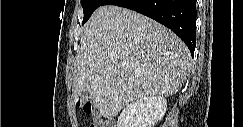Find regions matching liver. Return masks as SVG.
<instances>
[{"label": "liver", "instance_id": "6515ba94", "mask_svg": "<svg viewBox=\"0 0 243 127\" xmlns=\"http://www.w3.org/2000/svg\"><path fill=\"white\" fill-rule=\"evenodd\" d=\"M73 97L87 92L113 119L127 104L172 96L190 67L185 43L165 26L119 6L99 7L83 28Z\"/></svg>", "mask_w": 243, "mask_h": 127}]
</instances>
